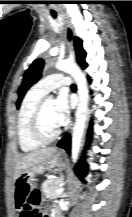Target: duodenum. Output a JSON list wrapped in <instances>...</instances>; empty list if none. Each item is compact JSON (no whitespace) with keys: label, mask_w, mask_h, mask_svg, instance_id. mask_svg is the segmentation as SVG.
<instances>
[{"label":"duodenum","mask_w":132,"mask_h":217,"mask_svg":"<svg viewBox=\"0 0 132 217\" xmlns=\"http://www.w3.org/2000/svg\"><path fill=\"white\" fill-rule=\"evenodd\" d=\"M54 217H60V215H59L58 213H56V214L54 215Z\"/></svg>","instance_id":"obj_1"}]
</instances>
